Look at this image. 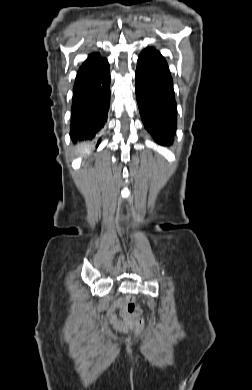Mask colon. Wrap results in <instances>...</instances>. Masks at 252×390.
I'll list each match as a JSON object with an SVG mask.
<instances>
[{
	"mask_svg": "<svg viewBox=\"0 0 252 390\" xmlns=\"http://www.w3.org/2000/svg\"><path fill=\"white\" fill-rule=\"evenodd\" d=\"M125 310L129 316L132 324L134 325L136 332L140 333L144 328V319L140 315L138 306L136 305L133 297L128 296L125 301Z\"/></svg>",
	"mask_w": 252,
	"mask_h": 390,
	"instance_id": "1",
	"label": "colon"
}]
</instances>
